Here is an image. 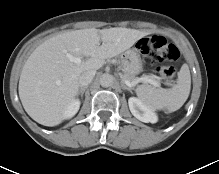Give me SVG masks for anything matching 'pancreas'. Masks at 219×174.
Wrapping results in <instances>:
<instances>
[{"label": "pancreas", "mask_w": 219, "mask_h": 174, "mask_svg": "<svg viewBox=\"0 0 219 174\" xmlns=\"http://www.w3.org/2000/svg\"><path fill=\"white\" fill-rule=\"evenodd\" d=\"M149 78H151L152 80H154L155 82H157L159 84V82L156 80V77L155 76H148ZM124 80H127L131 83L135 82L137 79L135 77H130V76H127V75H124L122 77Z\"/></svg>", "instance_id": "cf45deb5"}]
</instances>
